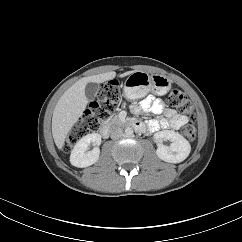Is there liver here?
Instances as JSON below:
<instances>
[{"label": "liver", "mask_w": 242, "mask_h": 242, "mask_svg": "<svg viewBox=\"0 0 242 242\" xmlns=\"http://www.w3.org/2000/svg\"><path fill=\"white\" fill-rule=\"evenodd\" d=\"M135 71H127L120 74V77H125ZM116 72L110 71L98 75L88 76L80 79L73 84L57 102L53 117H52V135L58 149H62L65 139L83 115L87 105L85 96V87L88 83H103L115 78Z\"/></svg>", "instance_id": "1"}]
</instances>
